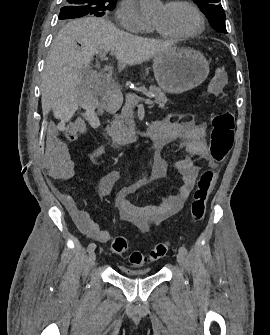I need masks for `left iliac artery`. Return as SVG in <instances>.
<instances>
[{
  "label": "left iliac artery",
  "mask_w": 270,
  "mask_h": 335,
  "mask_svg": "<svg viewBox=\"0 0 270 335\" xmlns=\"http://www.w3.org/2000/svg\"><path fill=\"white\" fill-rule=\"evenodd\" d=\"M179 252L182 253V254H184V255H186V254H187V249H186V247L181 246V247L179 248Z\"/></svg>",
  "instance_id": "obj_1"
}]
</instances>
